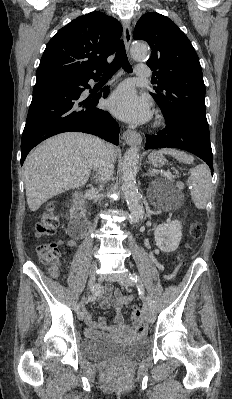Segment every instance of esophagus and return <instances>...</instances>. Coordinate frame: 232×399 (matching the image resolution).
Masks as SVG:
<instances>
[{
	"mask_svg": "<svg viewBox=\"0 0 232 399\" xmlns=\"http://www.w3.org/2000/svg\"><path fill=\"white\" fill-rule=\"evenodd\" d=\"M122 26H123V35H124V45L126 50L128 51L132 40L129 21L123 20ZM123 139L128 145H139L142 142V136L135 130H125V132L123 133Z\"/></svg>",
	"mask_w": 232,
	"mask_h": 399,
	"instance_id": "esophagus-1",
	"label": "esophagus"
}]
</instances>
